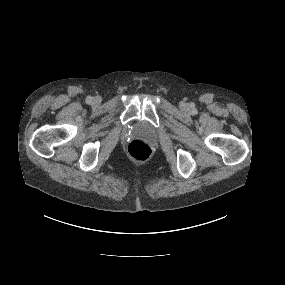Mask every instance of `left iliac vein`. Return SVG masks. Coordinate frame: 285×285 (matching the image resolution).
<instances>
[{
	"instance_id": "obj_1",
	"label": "left iliac vein",
	"mask_w": 285,
	"mask_h": 285,
	"mask_svg": "<svg viewBox=\"0 0 285 285\" xmlns=\"http://www.w3.org/2000/svg\"><path fill=\"white\" fill-rule=\"evenodd\" d=\"M187 106L185 104L182 105V108L185 109Z\"/></svg>"
}]
</instances>
